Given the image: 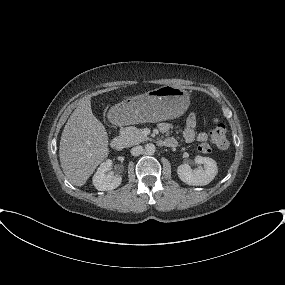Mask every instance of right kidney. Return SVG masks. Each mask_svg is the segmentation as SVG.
Masks as SVG:
<instances>
[{
	"label": "right kidney",
	"instance_id": "right-kidney-1",
	"mask_svg": "<svg viewBox=\"0 0 285 285\" xmlns=\"http://www.w3.org/2000/svg\"><path fill=\"white\" fill-rule=\"evenodd\" d=\"M112 166V161L107 159L102 162L93 176V185L98 191H109L116 189L122 182L120 175H114L112 172L107 173Z\"/></svg>",
	"mask_w": 285,
	"mask_h": 285
}]
</instances>
